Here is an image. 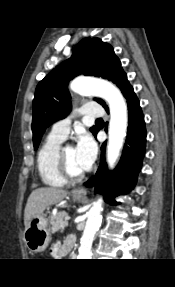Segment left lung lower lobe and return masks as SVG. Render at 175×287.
<instances>
[{
    "label": "left lung lower lobe",
    "instance_id": "0a47b994",
    "mask_svg": "<svg viewBox=\"0 0 175 287\" xmlns=\"http://www.w3.org/2000/svg\"><path fill=\"white\" fill-rule=\"evenodd\" d=\"M123 95L127 100L129 125L120 162L113 172L107 170L104 162L105 144H103L99 169L95 176L84 183L87 187L95 185V192L102 193L105 201L110 204H116L114 201L116 196L128 193L135 186L146 147L144 116L133 87L128 86Z\"/></svg>",
    "mask_w": 175,
    "mask_h": 287
}]
</instances>
